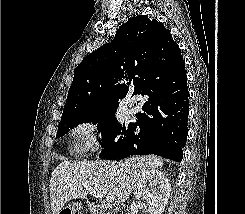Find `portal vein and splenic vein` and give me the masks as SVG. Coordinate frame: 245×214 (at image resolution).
Wrapping results in <instances>:
<instances>
[{"label":"portal vein and splenic vein","mask_w":245,"mask_h":214,"mask_svg":"<svg viewBox=\"0 0 245 214\" xmlns=\"http://www.w3.org/2000/svg\"><path fill=\"white\" fill-rule=\"evenodd\" d=\"M83 187L92 195L102 199L105 198L107 203H113L115 201V197L113 195H105L102 194L100 192H98L97 190H95L94 188H92L91 186L87 185V184H83Z\"/></svg>","instance_id":"1"}]
</instances>
